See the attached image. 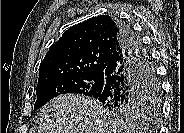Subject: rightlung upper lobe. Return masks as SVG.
<instances>
[{
  "mask_svg": "<svg viewBox=\"0 0 184 133\" xmlns=\"http://www.w3.org/2000/svg\"><path fill=\"white\" fill-rule=\"evenodd\" d=\"M120 28L109 15H99L66 30L51 45L39 68L37 88L64 78L103 75L119 48Z\"/></svg>",
  "mask_w": 184,
  "mask_h": 133,
  "instance_id": "right-lung-upper-lobe-1",
  "label": "right lung upper lobe"
}]
</instances>
